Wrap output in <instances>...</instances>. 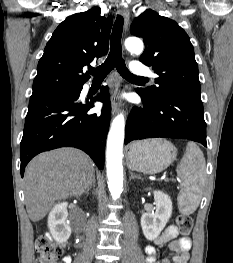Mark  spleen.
<instances>
[{
	"label": "spleen",
	"mask_w": 233,
	"mask_h": 263,
	"mask_svg": "<svg viewBox=\"0 0 233 263\" xmlns=\"http://www.w3.org/2000/svg\"><path fill=\"white\" fill-rule=\"evenodd\" d=\"M184 187L178 195V208L189 215L198 208L206 180V162L199 146L188 142L185 154L177 167Z\"/></svg>",
	"instance_id": "3e777b00"
}]
</instances>
